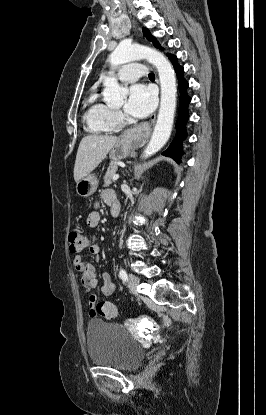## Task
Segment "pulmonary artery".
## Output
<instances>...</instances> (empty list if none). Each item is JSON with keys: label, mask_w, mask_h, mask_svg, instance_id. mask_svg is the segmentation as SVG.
<instances>
[{"label": "pulmonary artery", "mask_w": 266, "mask_h": 415, "mask_svg": "<svg viewBox=\"0 0 266 415\" xmlns=\"http://www.w3.org/2000/svg\"><path fill=\"white\" fill-rule=\"evenodd\" d=\"M145 75V67L139 63L126 64L118 72V77L123 82H133Z\"/></svg>", "instance_id": "pulmonary-artery-1"}]
</instances>
